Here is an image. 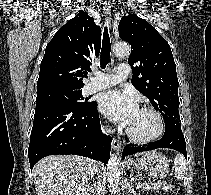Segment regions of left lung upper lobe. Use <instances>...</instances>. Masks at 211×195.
Segmentation results:
<instances>
[{
    "label": "left lung upper lobe",
    "mask_w": 211,
    "mask_h": 195,
    "mask_svg": "<svg viewBox=\"0 0 211 195\" xmlns=\"http://www.w3.org/2000/svg\"><path fill=\"white\" fill-rule=\"evenodd\" d=\"M119 36L131 44L132 84L162 114L165 126H181L176 65L168 42L136 14L124 16Z\"/></svg>",
    "instance_id": "1"
}]
</instances>
